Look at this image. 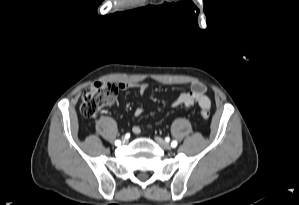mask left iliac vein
<instances>
[{
	"label": "left iliac vein",
	"instance_id": "left-iliac-vein-1",
	"mask_svg": "<svg viewBox=\"0 0 299 205\" xmlns=\"http://www.w3.org/2000/svg\"><path fill=\"white\" fill-rule=\"evenodd\" d=\"M157 144L165 150L171 149V145L160 137H155Z\"/></svg>",
	"mask_w": 299,
	"mask_h": 205
}]
</instances>
